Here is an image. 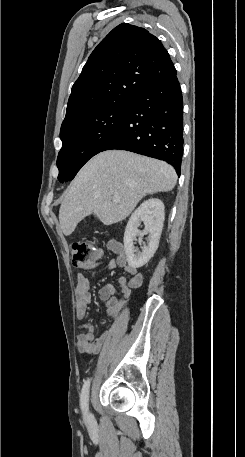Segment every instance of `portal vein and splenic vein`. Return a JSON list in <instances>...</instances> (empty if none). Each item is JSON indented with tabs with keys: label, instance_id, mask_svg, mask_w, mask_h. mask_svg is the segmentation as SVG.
Listing matches in <instances>:
<instances>
[{
	"label": "portal vein and splenic vein",
	"instance_id": "obj_1",
	"mask_svg": "<svg viewBox=\"0 0 245 457\" xmlns=\"http://www.w3.org/2000/svg\"><path fill=\"white\" fill-rule=\"evenodd\" d=\"M113 202H120L119 196H113Z\"/></svg>",
	"mask_w": 245,
	"mask_h": 457
}]
</instances>
